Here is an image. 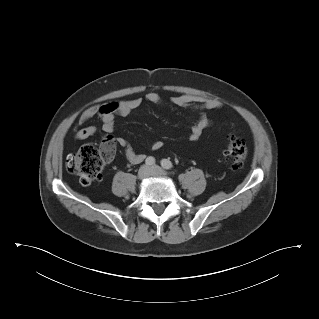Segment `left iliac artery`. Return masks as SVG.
Wrapping results in <instances>:
<instances>
[{"instance_id": "1", "label": "left iliac artery", "mask_w": 319, "mask_h": 319, "mask_svg": "<svg viewBox=\"0 0 319 319\" xmlns=\"http://www.w3.org/2000/svg\"><path fill=\"white\" fill-rule=\"evenodd\" d=\"M161 165H162V167L165 168V169H171V168L173 167L171 161H169V160H167V159H163V160L161 161Z\"/></svg>"}]
</instances>
